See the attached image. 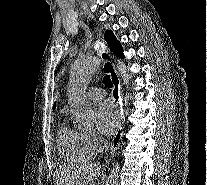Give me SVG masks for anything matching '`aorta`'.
Here are the masks:
<instances>
[{"instance_id":"1","label":"aorta","mask_w":207,"mask_h":185,"mask_svg":"<svg viewBox=\"0 0 207 185\" xmlns=\"http://www.w3.org/2000/svg\"><path fill=\"white\" fill-rule=\"evenodd\" d=\"M100 65L97 57H86L77 60L70 70L68 83V98L72 108L74 124L81 129H89L93 126L94 112L86 99V90L93 74ZM117 67L126 85L129 84L131 75L126 65L118 61ZM119 162L115 161L106 185H119Z\"/></svg>"}]
</instances>
